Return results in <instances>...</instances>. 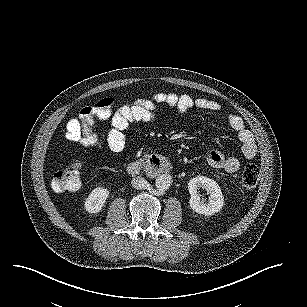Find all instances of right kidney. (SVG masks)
<instances>
[{
    "label": "right kidney",
    "instance_id": "1",
    "mask_svg": "<svg viewBox=\"0 0 307 307\" xmlns=\"http://www.w3.org/2000/svg\"><path fill=\"white\" fill-rule=\"evenodd\" d=\"M107 197L108 192L105 189L97 188L93 190L85 201V209L91 213L99 212Z\"/></svg>",
    "mask_w": 307,
    "mask_h": 307
}]
</instances>
